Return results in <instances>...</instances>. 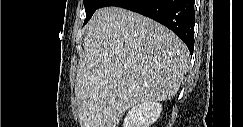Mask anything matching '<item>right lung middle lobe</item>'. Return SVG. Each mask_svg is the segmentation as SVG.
<instances>
[{
	"label": "right lung middle lobe",
	"instance_id": "obj_1",
	"mask_svg": "<svg viewBox=\"0 0 243 127\" xmlns=\"http://www.w3.org/2000/svg\"><path fill=\"white\" fill-rule=\"evenodd\" d=\"M105 0H83L85 11H86V19L84 24H86L94 12L101 7Z\"/></svg>",
	"mask_w": 243,
	"mask_h": 127
}]
</instances>
